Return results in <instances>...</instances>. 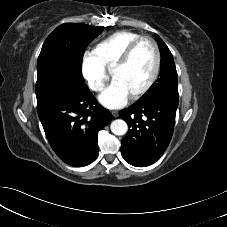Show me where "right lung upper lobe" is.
I'll return each instance as SVG.
<instances>
[{"mask_svg":"<svg viewBox=\"0 0 227 227\" xmlns=\"http://www.w3.org/2000/svg\"><path fill=\"white\" fill-rule=\"evenodd\" d=\"M62 82H65V80H60V81H58L57 83H62Z\"/></svg>","mask_w":227,"mask_h":227,"instance_id":"right-lung-upper-lobe-1","label":"right lung upper lobe"}]
</instances>
